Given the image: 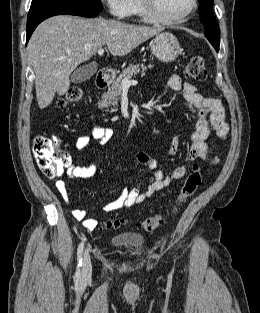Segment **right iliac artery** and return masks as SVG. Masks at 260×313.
Masks as SVG:
<instances>
[{
	"label": "right iliac artery",
	"mask_w": 260,
	"mask_h": 313,
	"mask_svg": "<svg viewBox=\"0 0 260 313\" xmlns=\"http://www.w3.org/2000/svg\"><path fill=\"white\" fill-rule=\"evenodd\" d=\"M83 249H84V240L79 244L77 249V269L75 273L76 280H79L81 275Z\"/></svg>",
	"instance_id": "82829eb1"
}]
</instances>
